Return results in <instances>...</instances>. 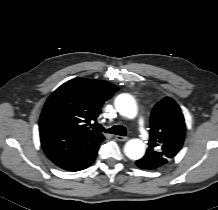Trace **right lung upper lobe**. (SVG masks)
Wrapping results in <instances>:
<instances>
[{
    "instance_id": "1",
    "label": "right lung upper lobe",
    "mask_w": 218,
    "mask_h": 210,
    "mask_svg": "<svg viewBox=\"0 0 218 210\" xmlns=\"http://www.w3.org/2000/svg\"><path fill=\"white\" fill-rule=\"evenodd\" d=\"M117 90L116 85L107 81L74 78L52 93L43 111L58 115L61 122L58 131L78 136L102 135L91 123Z\"/></svg>"
}]
</instances>
